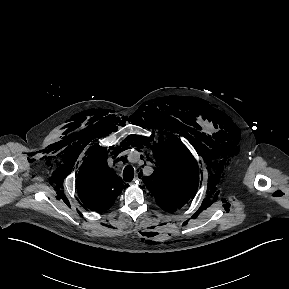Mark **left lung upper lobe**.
Listing matches in <instances>:
<instances>
[{"instance_id":"left-lung-upper-lobe-1","label":"left lung upper lobe","mask_w":289,"mask_h":289,"mask_svg":"<svg viewBox=\"0 0 289 289\" xmlns=\"http://www.w3.org/2000/svg\"><path fill=\"white\" fill-rule=\"evenodd\" d=\"M152 147L155 165L151 177H145L160 208L167 212L180 209L195 195L199 185L198 165L189 150L175 136Z\"/></svg>"}]
</instances>
